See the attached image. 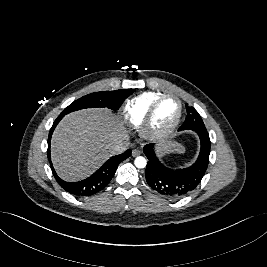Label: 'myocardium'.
I'll return each mask as SVG.
<instances>
[{
  "label": "myocardium",
  "mask_w": 267,
  "mask_h": 267,
  "mask_svg": "<svg viewBox=\"0 0 267 267\" xmlns=\"http://www.w3.org/2000/svg\"><path fill=\"white\" fill-rule=\"evenodd\" d=\"M167 98L176 99V101L178 102V107H179L178 114H177L175 121L168 129L163 130V131H157L153 128L154 116H155L158 106L161 104L163 100ZM182 114H183V103L181 99L177 95L172 94V93L163 94L159 96L157 99H155L150 105L144 117V120L142 122L141 132L145 138L152 140V141H159V140L166 139L169 136H171L178 128L181 122V119H182Z\"/></svg>",
  "instance_id": "1"
}]
</instances>
